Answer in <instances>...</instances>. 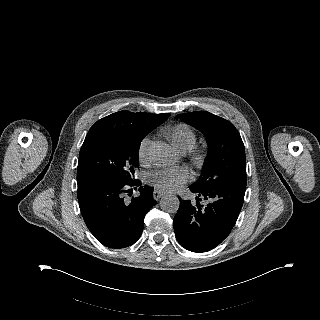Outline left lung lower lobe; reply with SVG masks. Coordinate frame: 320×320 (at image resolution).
Wrapping results in <instances>:
<instances>
[{"instance_id": "left-lung-lower-lobe-1", "label": "left lung lower lobe", "mask_w": 320, "mask_h": 320, "mask_svg": "<svg viewBox=\"0 0 320 320\" xmlns=\"http://www.w3.org/2000/svg\"><path fill=\"white\" fill-rule=\"evenodd\" d=\"M196 200H182L173 225L178 242L187 250L206 252L219 245L231 232L244 202L246 185L237 182L213 189L189 187ZM200 201H206L205 206Z\"/></svg>"}]
</instances>
